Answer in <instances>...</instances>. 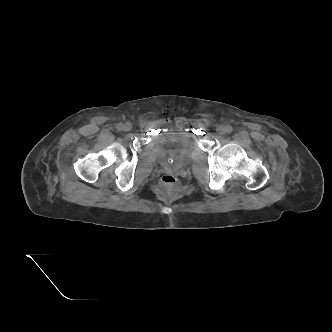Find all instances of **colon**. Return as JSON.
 <instances>
[{"instance_id": "1", "label": "colon", "mask_w": 332, "mask_h": 332, "mask_svg": "<svg viewBox=\"0 0 332 332\" xmlns=\"http://www.w3.org/2000/svg\"><path fill=\"white\" fill-rule=\"evenodd\" d=\"M161 188L167 195H175L181 191V183L176 176L166 174L161 179Z\"/></svg>"}]
</instances>
